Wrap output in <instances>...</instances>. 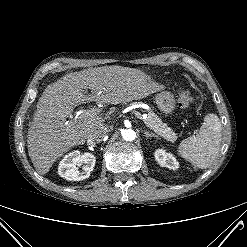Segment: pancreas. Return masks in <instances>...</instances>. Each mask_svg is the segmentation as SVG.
<instances>
[{"instance_id": "pancreas-1", "label": "pancreas", "mask_w": 247, "mask_h": 247, "mask_svg": "<svg viewBox=\"0 0 247 247\" xmlns=\"http://www.w3.org/2000/svg\"><path fill=\"white\" fill-rule=\"evenodd\" d=\"M147 127L152 129L158 136L170 142H175L177 135L175 132L163 123V121L152 111L149 110L145 119H143Z\"/></svg>"}]
</instances>
